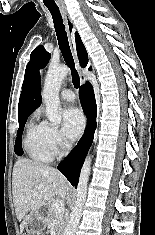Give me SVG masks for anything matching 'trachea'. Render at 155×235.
Masks as SVG:
<instances>
[{"label": "trachea", "instance_id": "trachea-1", "mask_svg": "<svg viewBox=\"0 0 155 235\" xmlns=\"http://www.w3.org/2000/svg\"><path fill=\"white\" fill-rule=\"evenodd\" d=\"M47 8L50 11L53 18L54 28L56 31V36L62 56L64 58L65 63L71 70L72 82L74 84V87L78 88L80 86V78L77 73V70L75 69L73 56L70 50L68 37L65 30V25L63 23L60 10L59 8H52V7H47Z\"/></svg>", "mask_w": 155, "mask_h": 235}]
</instances>
